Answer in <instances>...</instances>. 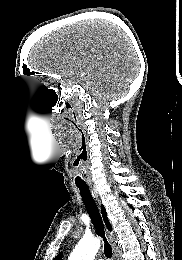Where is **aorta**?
Returning <instances> with one entry per match:
<instances>
[{
	"mask_svg": "<svg viewBox=\"0 0 182 260\" xmlns=\"http://www.w3.org/2000/svg\"><path fill=\"white\" fill-rule=\"evenodd\" d=\"M100 248V240L95 237L82 238L72 251L69 260H93Z\"/></svg>",
	"mask_w": 182,
	"mask_h": 260,
	"instance_id": "aorta-1",
	"label": "aorta"
}]
</instances>
